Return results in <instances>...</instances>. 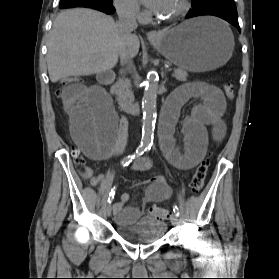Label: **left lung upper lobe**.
<instances>
[{
  "instance_id": "left-lung-upper-lobe-1",
  "label": "left lung upper lobe",
  "mask_w": 279,
  "mask_h": 279,
  "mask_svg": "<svg viewBox=\"0 0 279 279\" xmlns=\"http://www.w3.org/2000/svg\"><path fill=\"white\" fill-rule=\"evenodd\" d=\"M192 2H195V1H197V0H191Z\"/></svg>"
}]
</instances>
